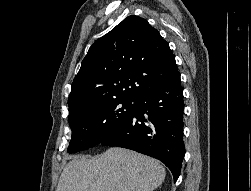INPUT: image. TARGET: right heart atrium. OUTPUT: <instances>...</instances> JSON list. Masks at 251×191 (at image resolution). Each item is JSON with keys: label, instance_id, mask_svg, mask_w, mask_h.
I'll list each match as a JSON object with an SVG mask.
<instances>
[{"label": "right heart atrium", "instance_id": "1", "mask_svg": "<svg viewBox=\"0 0 251 191\" xmlns=\"http://www.w3.org/2000/svg\"><path fill=\"white\" fill-rule=\"evenodd\" d=\"M96 124L97 125H100L101 124V121L98 119V120H96Z\"/></svg>", "mask_w": 251, "mask_h": 191}]
</instances>
